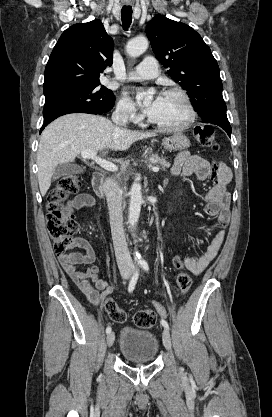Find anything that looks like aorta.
Returning <instances> with one entry per match:
<instances>
[{
    "instance_id": "762f6f07",
    "label": "aorta",
    "mask_w": 272,
    "mask_h": 417,
    "mask_svg": "<svg viewBox=\"0 0 272 417\" xmlns=\"http://www.w3.org/2000/svg\"><path fill=\"white\" fill-rule=\"evenodd\" d=\"M148 48V40L145 37H136L130 40L126 45V52L131 57H138L143 54ZM155 93L154 89H149L145 92V99L144 103H149L152 98L153 94ZM142 192H141V185L139 182H134L130 189V204H129V216L128 222L130 228H134L136 225L141 211L142 205ZM140 254L136 252L135 259H140Z\"/></svg>"
}]
</instances>
